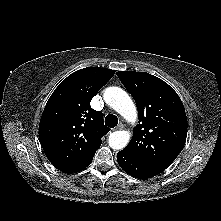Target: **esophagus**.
Wrapping results in <instances>:
<instances>
[{"label":"esophagus","instance_id":"obj_1","mask_svg":"<svg viewBox=\"0 0 221 221\" xmlns=\"http://www.w3.org/2000/svg\"><path fill=\"white\" fill-rule=\"evenodd\" d=\"M124 128V125L120 123L114 130H122Z\"/></svg>","mask_w":221,"mask_h":221}]
</instances>
